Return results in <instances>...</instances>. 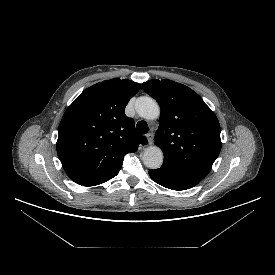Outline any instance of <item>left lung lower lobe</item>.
I'll use <instances>...</instances> for the list:
<instances>
[{
	"instance_id": "left-lung-lower-lobe-1",
	"label": "left lung lower lobe",
	"mask_w": 275,
	"mask_h": 275,
	"mask_svg": "<svg viewBox=\"0 0 275 275\" xmlns=\"http://www.w3.org/2000/svg\"><path fill=\"white\" fill-rule=\"evenodd\" d=\"M149 175L156 183L172 190H186L192 188L201 180L195 175L166 164H162L159 169L149 170Z\"/></svg>"
}]
</instances>
